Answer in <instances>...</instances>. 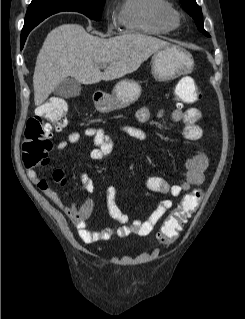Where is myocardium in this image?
I'll return each mask as SVG.
<instances>
[{"label": "myocardium", "mask_w": 245, "mask_h": 319, "mask_svg": "<svg viewBox=\"0 0 245 319\" xmlns=\"http://www.w3.org/2000/svg\"><path fill=\"white\" fill-rule=\"evenodd\" d=\"M172 20L174 22V24H177L178 22V15L173 11L172 13Z\"/></svg>", "instance_id": "myocardium-1"}]
</instances>
